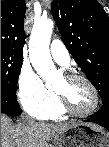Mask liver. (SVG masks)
Here are the masks:
<instances>
[{"instance_id": "obj_1", "label": "liver", "mask_w": 109, "mask_h": 147, "mask_svg": "<svg viewBox=\"0 0 109 147\" xmlns=\"http://www.w3.org/2000/svg\"><path fill=\"white\" fill-rule=\"evenodd\" d=\"M74 125L76 124H13L10 118L2 115L1 147H48L50 138ZM86 125L99 127L96 124Z\"/></svg>"}]
</instances>
